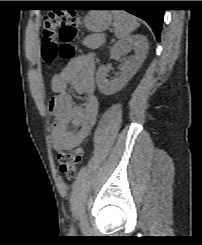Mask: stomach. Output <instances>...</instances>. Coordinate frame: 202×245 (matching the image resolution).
Listing matches in <instances>:
<instances>
[{
	"mask_svg": "<svg viewBox=\"0 0 202 245\" xmlns=\"http://www.w3.org/2000/svg\"><path fill=\"white\" fill-rule=\"evenodd\" d=\"M112 15L106 10H92L84 18V24L88 30L102 32L109 28Z\"/></svg>",
	"mask_w": 202,
	"mask_h": 245,
	"instance_id": "0dacf381",
	"label": "stomach"
}]
</instances>
